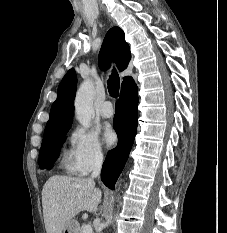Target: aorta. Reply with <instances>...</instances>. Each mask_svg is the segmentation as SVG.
<instances>
[{
	"instance_id": "762f6f07",
	"label": "aorta",
	"mask_w": 227,
	"mask_h": 233,
	"mask_svg": "<svg viewBox=\"0 0 227 233\" xmlns=\"http://www.w3.org/2000/svg\"><path fill=\"white\" fill-rule=\"evenodd\" d=\"M94 85L92 81L85 80L79 87L75 97V113L79 123L84 127H89L94 113L93 109ZM112 215L104 223L108 227L111 223Z\"/></svg>"
}]
</instances>
